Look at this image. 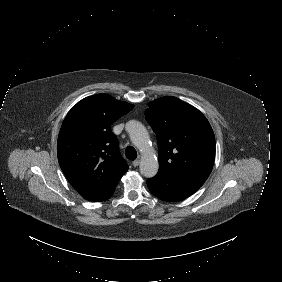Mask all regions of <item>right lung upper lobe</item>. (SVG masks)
<instances>
[{"label":"right lung upper lobe","instance_id":"right-lung-upper-lobe-1","mask_svg":"<svg viewBox=\"0 0 282 282\" xmlns=\"http://www.w3.org/2000/svg\"><path fill=\"white\" fill-rule=\"evenodd\" d=\"M133 107L108 94H97L78 102L64 119L57 142L58 161L83 198L99 201L113 193L128 170L110 128Z\"/></svg>","mask_w":282,"mask_h":282}]
</instances>
